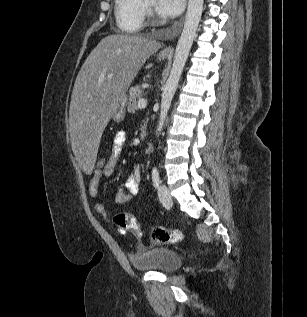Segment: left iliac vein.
Returning <instances> with one entry per match:
<instances>
[{"label": "left iliac vein", "mask_w": 307, "mask_h": 317, "mask_svg": "<svg viewBox=\"0 0 307 317\" xmlns=\"http://www.w3.org/2000/svg\"><path fill=\"white\" fill-rule=\"evenodd\" d=\"M159 200L163 206L170 208L173 204L172 196L168 188L164 184H160L158 187Z\"/></svg>", "instance_id": "left-iliac-vein-1"}]
</instances>
